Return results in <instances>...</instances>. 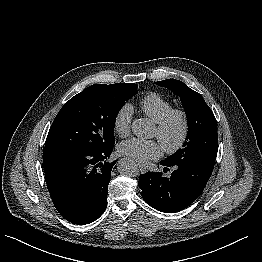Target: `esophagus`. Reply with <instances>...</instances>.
<instances>
[{
	"label": "esophagus",
	"instance_id": "34e87169",
	"mask_svg": "<svg viewBox=\"0 0 262 262\" xmlns=\"http://www.w3.org/2000/svg\"><path fill=\"white\" fill-rule=\"evenodd\" d=\"M138 168L141 171V173L147 172L146 167L141 162H138Z\"/></svg>",
	"mask_w": 262,
	"mask_h": 262
}]
</instances>
